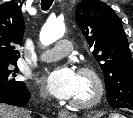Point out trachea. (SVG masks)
I'll use <instances>...</instances> for the list:
<instances>
[{
  "label": "trachea",
  "instance_id": "1",
  "mask_svg": "<svg viewBox=\"0 0 133 118\" xmlns=\"http://www.w3.org/2000/svg\"><path fill=\"white\" fill-rule=\"evenodd\" d=\"M52 3H53V0H42L41 7L43 10L46 11L51 7Z\"/></svg>",
  "mask_w": 133,
  "mask_h": 118
}]
</instances>
